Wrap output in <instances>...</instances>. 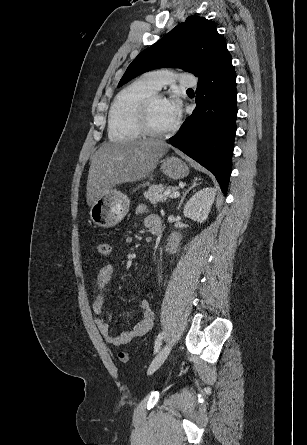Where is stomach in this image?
Masks as SVG:
<instances>
[{"instance_id": "0dacf381", "label": "stomach", "mask_w": 307, "mask_h": 445, "mask_svg": "<svg viewBox=\"0 0 307 445\" xmlns=\"http://www.w3.org/2000/svg\"><path fill=\"white\" fill-rule=\"evenodd\" d=\"M162 172L168 174L170 178H183L189 174V166L176 156H169L160 160ZM130 198L121 190H112L110 194H104L97 198L90 208V218L94 225L103 229H112L121 223L124 216L129 212Z\"/></svg>"}]
</instances>
